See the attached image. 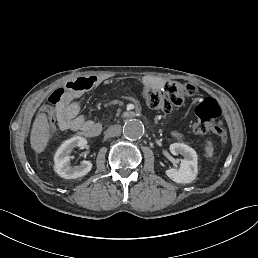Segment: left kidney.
<instances>
[{
	"label": "left kidney",
	"mask_w": 258,
	"mask_h": 258,
	"mask_svg": "<svg viewBox=\"0 0 258 258\" xmlns=\"http://www.w3.org/2000/svg\"><path fill=\"white\" fill-rule=\"evenodd\" d=\"M169 150L173 155L181 154L184 159L181 160L179 169H168L166 175L176 183H191L195 180L198 173L196 151L184 143H173Z\"/></svg>",
	"instance_id": "1"
}]
</instances>
